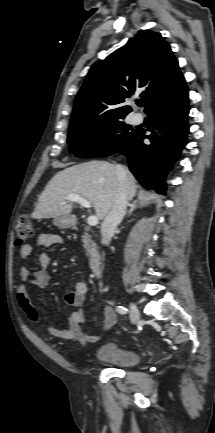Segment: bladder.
Returning a JSON list of instances; mask_svg holds the SVG:
<instances>
[{
    "label": "bladder",
    "mask_w": 215,
    "mask_h": 433,
    "mask_svg": "<svg viewBox=\"0 0 215 433\" xmlns=\"http://www.w3.org/2000/svg\"><path fill=\"white\" fill-rule=\"evenodd\" d=\"M94 359L122 368H131L140 364L141 355L136 351L109 342L96 349Z\"/></svg>",
    "instance_id": "31cf9c89"
}]
</instances>
